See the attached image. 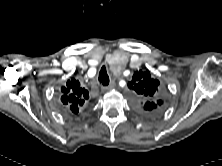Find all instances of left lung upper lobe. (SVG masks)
Returning a JSON list of instances; mask_svg holds the SVG:
<instances>
[{
    "mask_svg": "<svg viewBox=\"0 0 222 166\" xmlns=\"http://www.w3.org/2000/svg\"><path fill=\"white\" fill-rule=\"evenodd\" d=\"M159 84L157 79L151 77L149 71L139 70L134 73L128 87L138 94L139 99L143 100L141 104L144 110L154 111L162 104V101L156 98Z\"/></svg>",
    "mask_w": 222,
    "mask_h": 166,
    "instance_id": "5c2ea615",
    "label": "left lung upper lobe"
}]
</instances>
